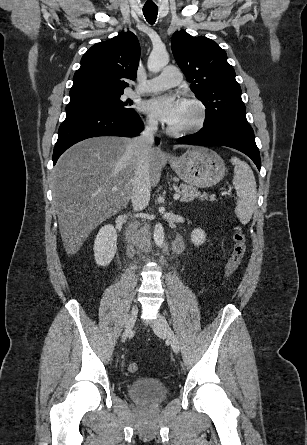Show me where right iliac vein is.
<instances>
[{
	"label": "right iliac vein",
	"mask_w": 307,
	"mask_h": 445,
	"mask_svg": "<svg viewBox=\"0 0 307 445\" xmlns=\"http://www.w3.org/2000/svg\"><path fill=\"white\" fill-rule=\"evenodd\" d=\"M137 314H138V307L136 305H134L131 308V311L129 313L128 319L125 324V328H124L122 338H121L122 342H124L127 339V337L129 336V334L131 333V331L134 327L136 318H137Z\"/></svg>",
	"instance_id": "obj_1"
}]
</instances>
